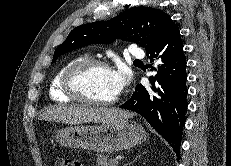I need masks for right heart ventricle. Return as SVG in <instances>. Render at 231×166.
<instances>
[{"mask_svg":"<svg viewBox=\"0 0 231 166\" xmlns=\"http://www.w3.org/2000/svg\"><path fill=\"white\" fill-rule=\"evenodd\" d=\"M86 58H87V56H83V55L74 57L60 67V69L54 75V77L51 81V84H50L49 97L51 98V100H53L55 102H67V101L71 100V98L69 96H67L62 90L61 83H62L63 75H64L65 71L72 64H74L77 61L86 59Z\"/></svg>","mask_w":231,"mask_h":166,"instance_id":"1","label":"right heart ventricle"}]
</instances>
